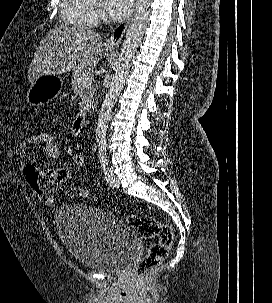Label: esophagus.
<instances>
[{"label": "esophagus", "mask_w": 272, "mask_h": 303, "mask_svg": "<svg viewBox=\"0 0 272 303\" xmlns=\"http://www.w3.org/2000/svg\"><path fill=\"white\" fill-rule=\"evenodd\" d=\"M131 17H129L128 19H126L124 22H121L120 24H118L115 29L113 30L110 38L107 40L106 45L108 47H118L125 35V32L128 28V25L130 23Z\"/></svg>", "instance_id": "esophagus-1"}]
</instances>
